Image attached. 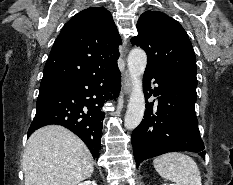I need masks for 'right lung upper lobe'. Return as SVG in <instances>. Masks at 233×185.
Instances as JSON below:
<instances>
[{
    "label": "right lung upper lobe",
    "mask_w": 233,
    "mask_h": 185,
    "mask_svg": "<svg viewBox=\"0 0 233 185\" xmlns=\"http://www.w3.org/2000/svg\"><path fill=\"white\" fill-rule=\"evenodd\" d=\"M121 39L111 13L85 9L62 28L44 67L41 84L93 75L117 66Z\"/></svg>",
    "instance_id": "obj_1"
}]
</instances>
